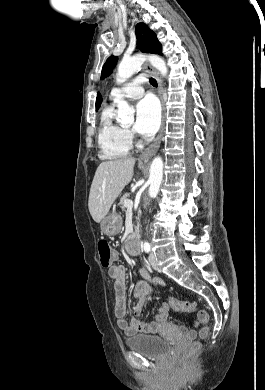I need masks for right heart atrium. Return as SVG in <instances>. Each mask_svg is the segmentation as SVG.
Here are the masks:
<instances>
[{"label": "right heart atrium", "instance_id": "obj_1", "mask_svg": "<svg viewBox=\"0 0 265 390\" xmlns=\"http://www.w3.org/2000/svg\"><path fill=\"white\" fill-rule=\"evenodd\" d=\"M127 134H128V137L130 138V140H132L134 138V134L132 131L127 130Z\"/></svg>", "mask_w": 265, "mask_h": 390}]
</instances>
